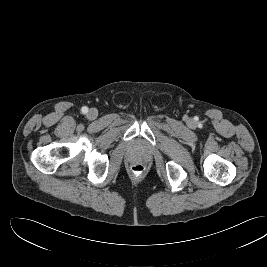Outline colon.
Instances as JSON below:
<instances>
[{"label": "colon", "instance_id": "1", "mask_svg": "<svg viewBox=\"0 0 267 267\" xmlns=\"http://www.w3.org/2000/svg\"><path fill=\"white\" fill-rule=\"evenodd\" d=\"M145 167L141 163H135L131 167V171L135 176L143 174Z\"/></svg>", "mask_w": 267, "mask_h": 267}]
</instances>
